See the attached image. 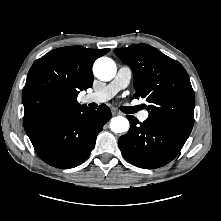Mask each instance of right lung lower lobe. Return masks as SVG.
<instances>
[{"label": "right lung lower lobe", "instance_id": "right-lung-lower-lobe-1", "mask_svg": "<svg viewBox=\"0 0 221 221\" xmlns=\"http://www.w3.org/2000/svg\"><path fill=\"white\" fill-rule=\"evenodd\" d=\"M111 117L106 105L97 111L86 105L26 128L37 155L57 168H73L83 163L95 146L96 137Z\"/></svg>", "mask_w": 221, "mask_h": 221}]
</instances>
